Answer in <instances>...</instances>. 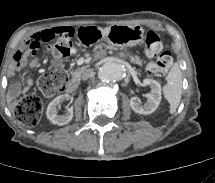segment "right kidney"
I'll return each instance as SVG.
<instances>
[{"label":"right kidney","instance_id":"1","mask_svg":"<svg viewBox=\"0 0 215 183\" xmlns=\"http://www.w3.org/2000/svg\"><path fill=\"white\" fill-rule=\"evenodd\" d=\"M70 96L68 94L59 95L54 98L48 105L46 115L47 118L55 125H65L69 123L73 118V108L67 109V112L63 115H58V106L65 100H68Z\"/></svg>","mask_w":215,"mask_h":183}]
</instances>
